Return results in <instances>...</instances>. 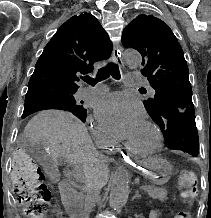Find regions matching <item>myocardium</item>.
<instances>
[{"label": "myocardium", "instance_id": "1", "mask_svg": "<svg viewBox=\"0 0 211 218\" xmlns=\"http://www.w3.org/2000/svg\"><path fill=\"white\" fill-rule=\"evenodd\" d=\"M145 124L151 130V132L154 136V141L148 148H138L135 146H131L128 143V141H126L124 144V147L132 155L139 156V157H146V156H149V155H152L153 153H155L158 150V148L160 147L161 134H160L159 128L157 127V125L155 123H153L151 121H147Z\"/></svg>", "mask_w": 211, "mask_h": 218}]
</instances>
